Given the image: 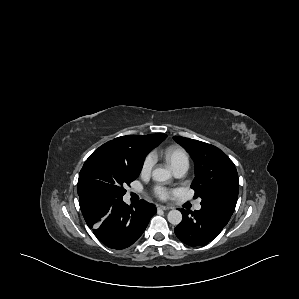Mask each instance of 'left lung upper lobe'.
Listing matches in <instances>:
<instances>
[{
	"mask_svg": "<svg viewBox=\"0 0 299 299\" xmlns=\"http://www.w3.org/2000/svg\"><path fill=\"white\" fill-rule=\"evenodd\" d=\"M195 162V179L191 188L202 198L201 206L229 220L234 212L239 180L230 158L217 147L198 140L174 136Z\"/></svg>",
	"mask_w": 299,
	"mask_h": 299,
	"instance_id": "5c2ea615",
	"label": "left lung upper lobe"
}]
</instances>
